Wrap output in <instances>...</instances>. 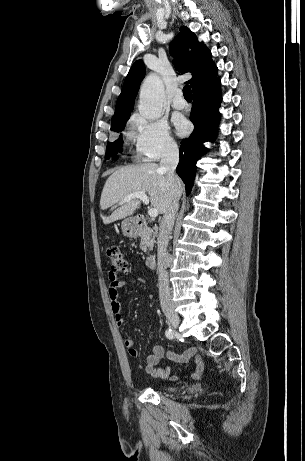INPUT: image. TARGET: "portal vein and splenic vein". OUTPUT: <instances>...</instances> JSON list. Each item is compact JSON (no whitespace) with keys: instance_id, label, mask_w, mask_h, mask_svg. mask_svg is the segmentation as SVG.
Masks as SVG:
<instances>
[{"instance_id":"18ae733b","label":"portal vein and splenic vein","mask_w":305,"mask_h":461,"mask_svg":"<svg viewBox=\"0 0 305 461\" xmlns=\"http://www.w3.org/2000/svg\"><path fill=\"white\" fill-rule=\"evenodd\" d=\"M135 198L140 199L145 205H148V204H149V198H148V196L146 195L145 192H134V193H131V194L125 196L124 199H123V201H124V202H128V201H130V200H132V199H135ZM158 214H159V212H158V210L155 209V208H150V209L148 210V215H149L150 217H152V218L157 217Z\"/></svg>"}]
</instances>
